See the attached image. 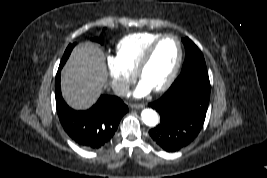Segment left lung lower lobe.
Segmentation results:
<instances>
[{
  "label": "left lung lower lobe",
  "mask_w": 267,
  "mask_h": 178,
  "mask_svg": "<svg viewBox=\"0 0 267 178\" xmlns=\"http://www.w3.org/2000/svg\"><path fill=\"white\" fill-rule=\"evenodd\" d=\"M210 90L209 77L183 76L160 99L150 103L160 115V123L149 131L154 142L167 152L190 144L203 127Z\"/></svg>",
  "instance_id": "left-lung-lower-lobe-1"
}]
</instances>
